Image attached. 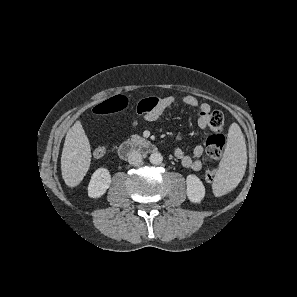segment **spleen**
I'll return each mask as SVG.
<instances>
[{
  "mask_svg": "<svg viewBox=\"0 0 297 297\" xmlns=\"http://www.w3.org/2000/svg\"><path fill=\"white\" fill-rule=\"evenodd\" d=\"M247 164L246 144L243 133L237 123L231 124L227 145L218 170V179L222 189L231 190L241 181Z\"/></svg>",
  "mask_w": 297,
  "mask_h": 297,
  "instance_id": "1",
  "label": "spleen"
}]
</instances>
